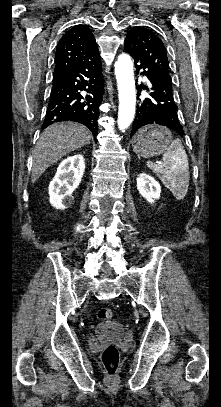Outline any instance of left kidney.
Returning <instances> with one entry per match:
<instances>
[{"label": "left kidney", "instance_id": "obj_1", "mask_svg": "<svg viewBox=\"0 0 221 407\" xmlns=\"http://www.w3.org/2000/svg\"><path fill=\"white\" fill-rule=\"evenodd\" d=\"M137 189L139 193L150 203L160 198V184L146 173L139 174L137 178Z\"/></svg>", "mask_w": 221, "mask_h": 407}]
</instances>
